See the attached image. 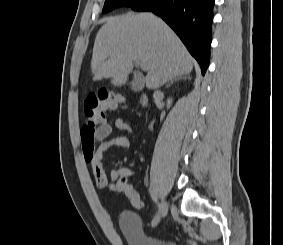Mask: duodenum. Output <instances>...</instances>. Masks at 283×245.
Masks as SVG:
<instances>
[{"mask_svg":"<svg viewBox=\"0 0 283 245\" xmlns=\"http://www.w3.org/2000/svg\"><path fill=\"white\" fill-rule=\"evenodd\" d=\"M141 104H142V106L144 108H147V106H148V99H147L146 95H142V97H141Z\"/></svg>","mask_w":283,"mask_h":245,"instance_id":"410a0bca","label":"duodenum"}]
</instances>
